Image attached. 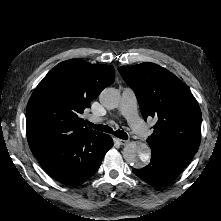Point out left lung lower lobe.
<instances>
[{
	"label": "left lung lower lobe",
	"mask_w": 221,
	"mask_h": 221,
	"mask_svg": "<svg viewBox=\"0 0 221 221\" xmlns=\"http://www.w3.org/2000/svg\"><path fill=\"white\" fill-rule=\"evenodd\" d=\"M184 167L174 164L167 159L152 154L150 163L141 169H134L133 172L145 182L152 185H163L175 179Z\"/></svg>",
	"instance_id": "1"
}]
</instances>
